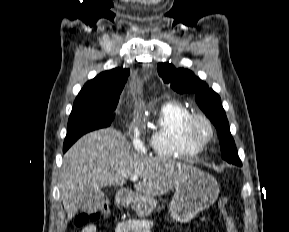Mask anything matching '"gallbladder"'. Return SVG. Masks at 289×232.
I'll use <instances>...</instances> for the list:
<instances>
[{
  "instance_id": "gallbladder-1",
  "label": "gallbladder",
  "mask_w": 289,
  "mask_h": 232,
  "mask_svg": "<svg viewBox=\"0 0 289 232\" xmlns=\"http://www.w3.org/2000/svg\"><path fill=\"white\" fill-rule=\"evenodd\" d=\"M104 204V194L102 190L93 188L86 190L81 199V210L85 213H94L102 208Z\"/></svg>"
}]
</instances>
